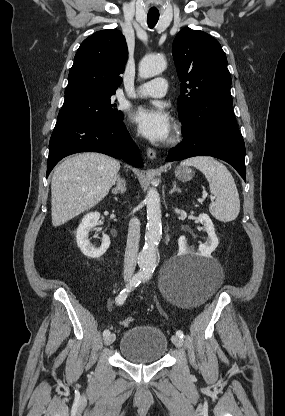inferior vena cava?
Segmentation results:
<instances>
[{
    "label": "inferior vena cava",
    "mask_w": 285,
    "mask_h": 416,
    "mask_svg": "<svg viewBox=\"0 0 285 416\" xmlns=\"http://www.w3.org/2000/svg\"><path fill=\"white\" fill-rule=\"evenodd\" d=\"M140 240V222L132 218L129 222L127 246L124 260V274H132L136 268L138 258V244Z\"/></svg>",
    "instance_id": "obj_1"
}]
</instances>
